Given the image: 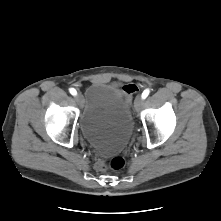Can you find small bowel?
I'll return each mask as SVG.
<instances>
[{
  "label": "small bowel",
  "mask_w": 221,
  "mask_h": 221,
  "mask_svg": "<svg viewBox=\"0 0 221 221\" xmlns=\"http://www.w3.org/2000/svg\"><path fill=\"white\" fill-rule=\"evenodd\" d=\"M114 87L117 88V89L121 92V86H120V84H115Z\"/></svg>",
  "instance_id": "1"
}]
</instances>
